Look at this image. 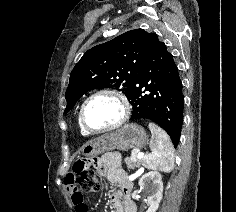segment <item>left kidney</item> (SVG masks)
Here are the masks:
<instances>
[{"mask_svg": "<svg viewBox=\"0 0 236 212\" xmlns=\"http://www.w3.org/2000/svg\"><path fill=\"white\" fill-rule=\"evenodd\" d=\"M141 189L148 188V197L146 199L149 208L146 212H156L162 200L163 182L162 176L157 171H151L144 174L139 180Z\"/></svg>", "mask_w": 236, "mask_h": 212, "instance_id": "1", "label": "left kidney"}]
</instances>
